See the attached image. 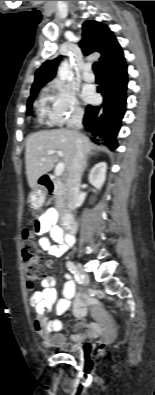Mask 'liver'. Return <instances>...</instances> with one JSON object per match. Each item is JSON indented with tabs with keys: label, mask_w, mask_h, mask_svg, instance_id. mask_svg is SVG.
Segmentation results:
<instances>
[{
	"label": "liver",
	"mask_w": 155,
	"mask_h": 395,
	"mask_svg": "<svg viewBox=\"0 0 155 395\" xmlns=\"http://www.w3.org/2000/svg\"><path fill=\"white\" fill-rule=\"evenodd\" d=\"M80 145L84 154L89 153L96 146L83 134L74 130H52L33 133L26 142L25 164L28 184L31 189L37 185V181L54 167L55 155H48L49 150L63 152L66 170L70 166ZM44 158V160H41Z\"/></svg>",
	"instance_id": "liver-1"
}]
</instances>
